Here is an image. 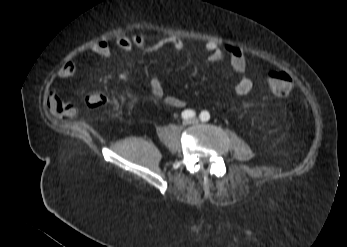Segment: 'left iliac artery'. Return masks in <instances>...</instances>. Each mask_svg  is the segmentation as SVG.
I'll return each mask as SVG.
<instances>
[{
  "label": "left iliac artery",
  "instance_id": "44dca946",
  "mask_svg": "<svg viewBox=\"0 0 347 247\" xmlns=\"http://www.w3.org/2000/svg\"><path fill=\"white\" fill-rule=\"evenodd\" d=\"M200 119L202 122H207L210 119V114L207 111H202L200 113Z\"/></svg>",
  "mask_w": 347,
  "mask_h": 247
}]
</instances>
